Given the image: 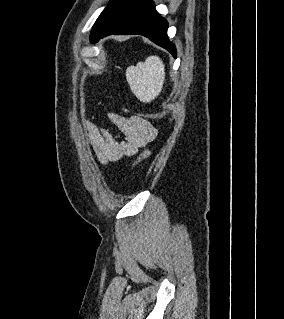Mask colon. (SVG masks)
<instances>
[{"instance_id":"colon-1","label":"colon","mask_w":284,"mask_h":319,"mask_svg":"<svg viewBox=\"0 0 284 319\" xmlns=\"http://www.w3.org/2000/svg\"><path fill=\"white\" fill-rule=\"evenodd\" d=\"M140 116L144 119L146 118H151V119H161L163 117H166V113H156V114H143V115H137ZM150 151H144L136 160L135 165L141 163L142 161H144L145 159H147L150 156Z\"/></svg>"}]
</instances>
